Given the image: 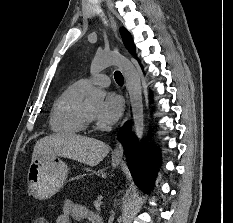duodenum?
I'll return each mask as SVG.
<instances>
[{
	"label": "duodenum",
	"instance_id": "410a0bca",
	"mask_svg": "<svg viewBox=\"0 0 233 223\" xmlns=\"http://www.w3.org/2000/svg\"><path fill=\"white\" fill-rule=\"evenodd\" d=\"M96 223H102V221L100 219H97Z\"/></svg>",
	"mask_w": 233,
	"mask_h": 223
}]
</instances>
